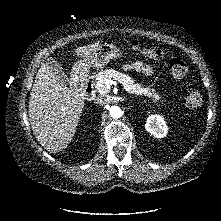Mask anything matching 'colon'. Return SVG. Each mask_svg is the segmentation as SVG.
Instances as JSON below:
<instances>
[{"label": "colon", "mask_w": 221, "mask_h": 221, "mask_svg": "<svg viewBox=\"0 0 221 221\" xmlns=\"http://www.w3.org/2000/svg\"><path fill=\"white\" fill-rule=\"evenodd\" d=\"M130 48L132 51H140L146 57L156 61L167 59L171 73L177 78H182L187 73L188 66L186 62L176 55L166 54L158 49L141 48L136 42L132 43ZM185 103L190 108H199L203 103V96L199 91L192 90L186 96Z\"/></svg>", "instance_id": "1"}]
</instances>
